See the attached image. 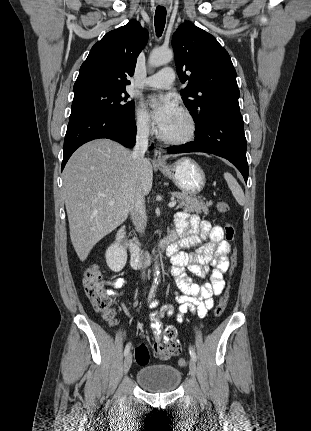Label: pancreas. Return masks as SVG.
<instances>
[{
  "label": "pancreas",
  "instance_id": "cf45deb5",
  "mask_svg": "<svg viewBox=\"0 0 311 431\" xmlns=\"http://www.w3.org/2000/svg\"><path fill=\"white\" fill-rule=\"evenodd\" d=\"M172 196L177 198V208H183L184 212H195V214H205L207 216L212 202H205V198L202 196H188V194H182V192H172ZM137 241V239H135Z\"/></svg>",
  "mask_w": 311,
  "mask_h": 431
}]
</instances>
